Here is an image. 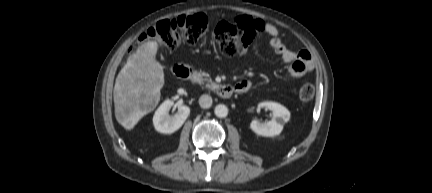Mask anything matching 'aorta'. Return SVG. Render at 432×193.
<instances>
[{"mask_svg":"<svg viewBox=\"0 0 432 193\" xmlns=\"http://www.w3.org/2000/svg\"><path fill=\"white\" fill-rule=\"evenodd\" d=\"M215 115L220 118H224L228 115V108L224 104H219L215 107Z\"/></svg>","mask_w":432,"mask_h":193,"instance_id":"aorta-1","label":"aorta"}]
</instances>
